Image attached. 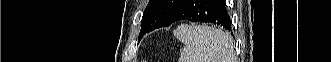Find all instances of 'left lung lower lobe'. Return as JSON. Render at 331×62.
<instances>
[{
  "label": "left lung lower lobe",
  "mask_w": 331,
  "mask_h": 62,
  "mask_svg": "<svg viewBox=\"0 0 331 62\" xmlns=\"http://www.w3.org/2000/svg\"><path fill=\"white\" fill-rule=\"evenodd\" d=\"M180 20L209 22L231 31V19L226 10L225 0H184L162 27L170 26ZM149 31L141 29L139 40Z\"/></svg>",
  "instance_id": "obj_1"
}]
</instances>
